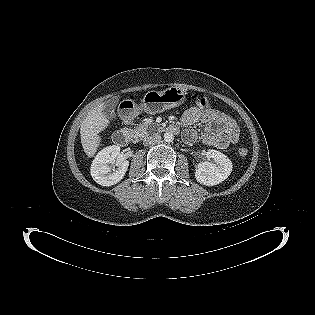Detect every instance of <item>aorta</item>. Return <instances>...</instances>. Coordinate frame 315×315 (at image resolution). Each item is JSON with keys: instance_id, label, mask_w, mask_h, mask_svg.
I'll return each instance as SVG.
<instances>
[{"instance_id": "obj_1", "label": "aorta", "mask_w": 315, "mask_h": 315, "mask_svg": "<svg viewBox=\"0 0 315 315\" xmlns=\"http://www.w3.org/2000/svg\"><path fill=\"white\" fill-rule=\"evenodd\" d=\"M164 140L168 143L173 142L174 140V135L170 132H167L164 134Z\"/></svg>"}]
</instances>
